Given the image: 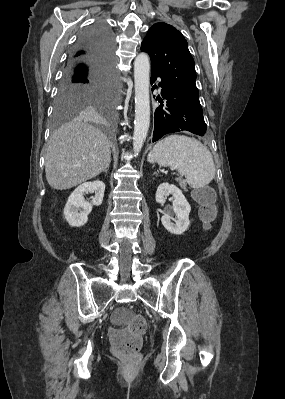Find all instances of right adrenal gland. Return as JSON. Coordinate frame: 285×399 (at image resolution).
Masks as SVG:
<instances>
[{
	"mask_svg": "<svg viewBox=\"0 0 285 399\" xmlns=\"http://www.w3.org/2000/svg\"><path fill=\"white\" fill-rule=\"evenodd\" d=\"M108 170H109V167H107V168L104 170V172H105V173H108Z\"/></svg>",
	"mask_w": 285,
	"mask_h": 399,
	"instance_id": "right-adrenal-gland-1",
	"label": "right adrenal gland"
}]
</instances>
